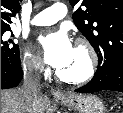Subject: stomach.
Masks as SVG:
<instances>
[{
    "mask_svg": "<svg viewBox=\"0 0 123 113\" xmlns=\"http://www.w3.org/2000/svg\"><path fill=\"white\" fill-rule=\"evenodd\" d=\"M61 104L79 113H104L103 102L94 95H75L56 97Z\"/></svg>",
    "mask_w": 123,
    "mask_h": 113,
    "instance_id": "0dacf381",
    "label": "stomach"
}]
</instances>
